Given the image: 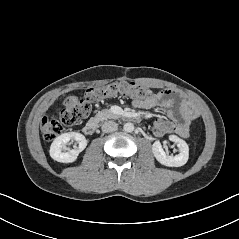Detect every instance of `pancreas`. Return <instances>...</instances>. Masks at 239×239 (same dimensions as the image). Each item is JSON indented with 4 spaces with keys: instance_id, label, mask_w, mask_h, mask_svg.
Masks as SVG:
<instances>
[{
    "instance_id": "cf45deb5",
    "label": "pancreas",
    "mask_w": 239,
    "mask_h": 239,
    "mask_svg": "<svg viewBox=\"0 0 239 239\" xmlns=\"http://www.w3.org/2000/svg\"><path fill=\"white\" fill-rule=\"evenodd\" d=\"M116 116L108 109H104L102 111H99L96 116L95 119L97 121H104L107 119H111V118H115Z\"/></svg>"
}]
</instances>
